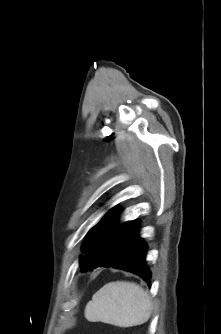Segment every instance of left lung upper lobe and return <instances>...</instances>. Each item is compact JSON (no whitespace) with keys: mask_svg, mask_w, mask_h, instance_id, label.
<instances>
[{"mask_svg":"<svg viewBox=\"0 0 221 334\" xmlns=\"http://www.w3.org/2000/svg\"><path fill=\"white\" fill-rule=\"evenodd\" d=\"M120 212L119 209H110L107 212L106 219L100 224L98 227L91 229L88 233L86 243L83 246V253L85 255H81L80 258V267L85 268L91 265V263L94 261V250L103 236V234L108 230V228L112 225V223L117 218L118 213Z\"/></svg>","mask_w":221,"mask_h":334,"instance_id":"5c2ea615","label":"left lung upper lobe"}]
</instances>
